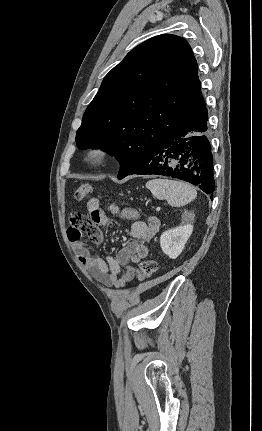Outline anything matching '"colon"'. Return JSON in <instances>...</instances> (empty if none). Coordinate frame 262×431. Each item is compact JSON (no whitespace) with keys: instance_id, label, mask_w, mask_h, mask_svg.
<instances>
[{"instance_id":"5ec220e1","label":"colon","mask_w":262,"mask_h":431,"mask_svg":"<svg viewBox=\"0 0 262 431\" xmlns=\"http://www.w3.org/2000/svg\"><path fill=\"white\" fill-rule=\"evenodd\" d=\"M92 186L89 183H82L75 190L74 196L77 201L82 202L89 198L92 194ZM108 210L111 214L118 215L120 207L116 204H110ZM80 214L72 213L70 215L71 224H76L79 220ZM157 271V263L154 260H143L137 265L136 278L138 280H145L151 278Z\"/></svg>"}]
</instances>
